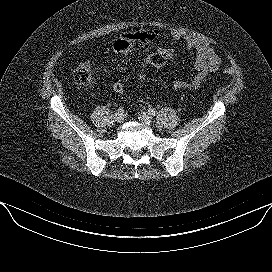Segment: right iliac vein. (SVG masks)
I'll use <instances>...</instances> for the list:
<instances>
[{
	"instance_id": "1",
	"label": "right iliac vein",
	"mask_w": 272,
	"mask_h": 272,
	"mask_svg": "<svg viewBox=\"0 0 272 272\" xmlns=\"http://www.w3.org/2000/svg\"><path fill=\"white\" fill-rule=\"evenodd\" d=\"M114 121L117 123H121L123 121V115L119 113L114 114Z\"/></svg>"
}]
</instances>
